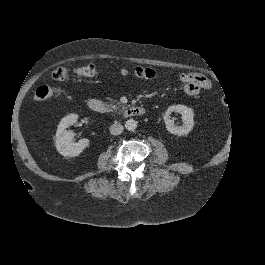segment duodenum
<instances>
[{
  "label": "duodenum",
  "instance_id": "1",
  "mask_svg": "<svg viewBox=\"0 0 265 265\" xmlns=\"http://www.w3.org/2000/svg\"><path fill=\"white\" fill-rule=\"evenodd\" d=\"M87 105L89 109L96 113H104L106 111L105 104L96 98L88 100ZM145 114V109L141 106H132L125 111L126 117H137Z\"/></svg>",
  "mask_w": 265,
  "mask_h": 265
}]
</instances>
